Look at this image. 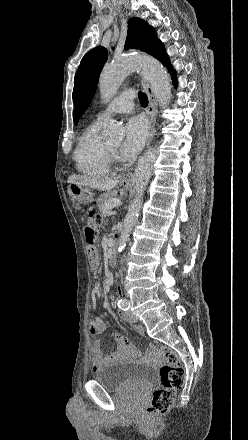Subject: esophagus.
<instances>
[{
    "label": "esophagus",
    "instance_id": "obj_1",
    "mask_svg": "<svg viewBox=\"0 0 248 440\" xmlns=\"http://www.w3.org/2000/svg\"><path fill=\"white\" fill-rule=\"evenodd\" d=\"M141 84L144 88V90L147 93L148 96V100H149V104H148V108H147V114H148V120H149V136H148V140H147V147L150 145V143L152 142V139L154 137L155 134V122H156V118H155V108L157 105V101H156V97L154 95L153 89L150 85V83L144 79L141 80ZM132 176V172H127L126 174L123 175V180H128L130 179Z\"/></svg>",
    "mask_w": 248,
    "mask_h": 440
}]
</instances>
